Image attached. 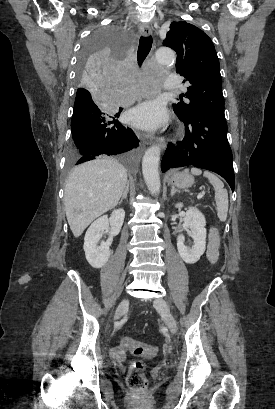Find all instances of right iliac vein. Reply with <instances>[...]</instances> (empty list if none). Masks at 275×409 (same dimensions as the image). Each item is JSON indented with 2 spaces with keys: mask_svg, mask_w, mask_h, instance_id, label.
I'll use <instances>...</instances> for the list:
<instances>
[{
  "mask_svg": "<svg viewBox=\"0 0 275 409\" xmlns=\"http://www.w3.org/2000/svg\"><path fill=\"white\" fill-rule=\"evenodd\" d=\"M129 305V300L127 298L123 299L122 302L119 304V306L117 307L114 319L117 320L124 311L127 310Z\"/></svg>",
  "mask_w": 275,
  "mask_h": 409,
  "instance_id": "obj_1",
  "label": "right iliac vein"
}]
</instances>
